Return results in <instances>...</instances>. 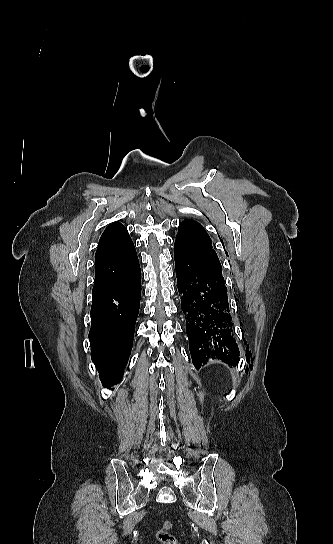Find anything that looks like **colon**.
<instances>
[{"mask_svg":"<svg viewBox=\"0 0 333 544\" xmlns=\"http://www.w3.org/2000/svg\"><path fill=\"white\" fill-rule=\"evenodd\" d=\"M172 523L164 521L156 532V538L161 544H178L177 539L171 533Z\"/></svg>","mask_w":333,"mask_h":544,"instance_id":"5ec220e1","label":"colon"}]
</instances>
